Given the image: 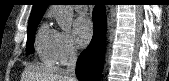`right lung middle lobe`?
Instances as JSON below:
<instances>
[{"mask_svg": "<svg viewBox=\"0 0 169 81\" xmlns=\"http://www.w3.org/2000/svg\"><path fill=\"white\" fill-rule=\"evenodd\" d=\"M40 20L31 22L28 24V37H27V45H26V51L27 54H32L34 52V37L37 25L39 24Z\"/></svg>", "mask_w": 169, "mask_h": 81, "instance_id": "dd1d6c3e", "label": "right lung middle lobe"}]
</instances>
